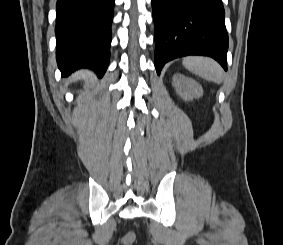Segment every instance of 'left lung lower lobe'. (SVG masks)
Returning a JSON list of instances; mask_svg holds the SVG:
<instances>
[{"instance_id":"left-lung-lower-lobe-1","label":"left lung lower lobe","mask_w":283,"mask_h":245,"mask_svg":"<svg viewBox=\"0 0 283 245\" xmlns=\"http://www.w3.org/2000/svg\"><path fill=\"white\" fill-rule=\"evenodd\" d=\"M155 68L186 55H204L227 70L228 34L221 0H151Z\"/></svg>"}]
</instances>
